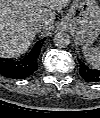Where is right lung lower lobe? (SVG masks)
<instances>
[{
	"mask_svg": "<svg viewBox=\"0 0 100 118\" xmlns=\"http://www.w3.org/2000/svg\"><path fill=\"white\" fill-rule=\"evenodd\" d=\"M41 43L19 61L2 60L0 63V74L7 78L24 79L31 76L38 69V55Z\"/></svg>",
	"mask_w": 100,
	"mask_h": 118,
	"instance_id": "1",
	"label": "right lung lower lobe"
}]
</instances>
